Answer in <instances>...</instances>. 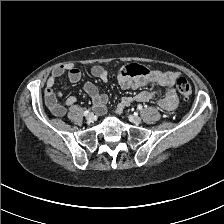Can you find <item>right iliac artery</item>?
<instances>
[{"label": "right iliac artery", "instance_id": "right-iliac-artery-1", "mask_svg": "<svg viewBox=\"0 0 224 224\" xmlns=\"http://www.w3.org/2000/svg\"><path fill=\"white\" fill-rule=\"evenodd\" d=\"M90 113V110L84 111V116H87Z\"/></svg>", "mask_w": 224, "mask_h": 224}]
</instances>
